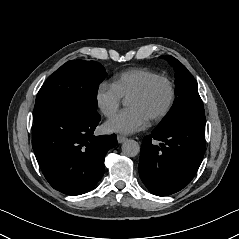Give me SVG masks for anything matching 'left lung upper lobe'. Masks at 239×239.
I'll use <instances>...</instances> for the list:
<instances>
[{
	"instance_id": "obj_1",
	"label": "left lung upper lobe",
	"mask_w": 239,
	"mask_h": 239,
	"mask_svg": "<svg viewBox=\"0 0 239 239\" xmlns=\"http://www.w3.org/2000/svg\"><path fill=\"white\" fill-rule=\"evenodd\" d=\"M175 69L176 98L156 131L167 130L187 119H205L204 107L198 93V85L187 68L172 56H160Z\"/></svg>"
}]
</instances>
